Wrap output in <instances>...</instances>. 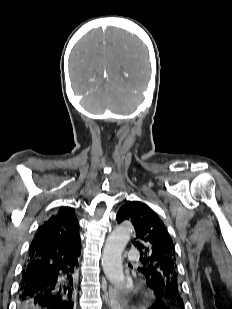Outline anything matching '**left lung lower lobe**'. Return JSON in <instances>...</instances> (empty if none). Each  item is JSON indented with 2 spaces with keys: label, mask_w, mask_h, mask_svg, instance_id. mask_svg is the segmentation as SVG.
Here are the masks:
<instances>
[{
  "label": "left lung lower lobe",
  "mask_w": 232,
  "mask_h": 309,
  "mask_svg": "<svg viewBox=\"0 0 232 309\" xmlns=\"http://www.w3.org/2000/svg\"><path fill=\"white\" fill-rule=\"evenodd\" d=\"M148 286L151 287L150 285H148ZM153 290H154V293H155V299H154V301H153V303H152V305L150 306L149 309H170V308H174V307H180L181 309H183V305L177 304V303L167 302L166 300H164L161 297V295L155 289H153Z\"/></svg>",
  "instance_id": "obj_1"
}]
</instances>
